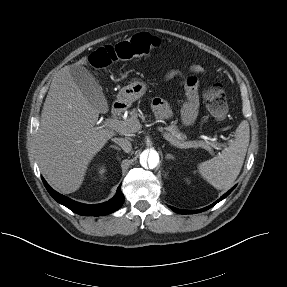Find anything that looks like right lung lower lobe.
<instances>
[{"instance_id": "right-lung-lower-lobe-1", "label": "right lung lower lobe", "mask_w": 287, "mask_h": 287, "mask_svg": "<svg viewBox=\"0 0 287 287\" xmlns=\"http://www.w3.org/2000/svg\"><path fill=\"white\" fill-rule=\"evenodd\" d=\"M43 183L48 190L49 194L60 204L66 206L73 212L84 215V216H101L110 214L117 209H119L123 202L124 196L121 193V185L117 189L116 195L107 202L101 204H83L76 201L71 200L68 197H65L58 192L54 191L47 182L42 178Z\"/></svg>"}]
</instances>
